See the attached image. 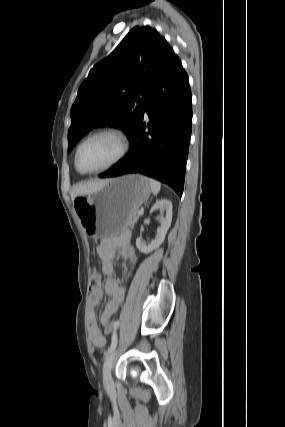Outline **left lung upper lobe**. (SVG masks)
I'll return each instance as SVG.
<instances>
[{
    "label": "left lung upper lobe",
    "instance_id": "obj_1",
    "mask_svg": "<svg viewBox=\"0 0 285 427\" xmlns=\"http://www.w3.org/2000/svg\"><path fill=\"white\" fill-rule=\"evenodd\" d=\"M172 50L155 29L136 26L97 63L79 87L71 109L68 152L98 126L121 128L129 139L147 94Z\"/></svg>",
    "mask_w": 285,
    "mask_h": 427
}]
</instances>
